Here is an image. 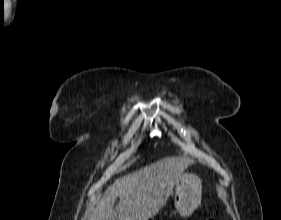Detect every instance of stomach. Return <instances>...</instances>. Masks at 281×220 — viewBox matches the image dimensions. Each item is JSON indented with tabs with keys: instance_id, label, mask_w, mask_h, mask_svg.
<instances>
[{
	"instance_id": "obj_1",
	"label": "stomach",
	"mask_w": 281,
	"mask_h": 220,
	"mask_svg": "<svg viewBox=\"0 0 281 220\" xmlns=\"http://www.w3.org/2000/svg\"><path fill=\"white\" fill-rule=\"evenodd\" d=\"M201 180L192 173H183L175 184V208L181 216H190L201 203Z\"/></svg>"
}]
</instances>
